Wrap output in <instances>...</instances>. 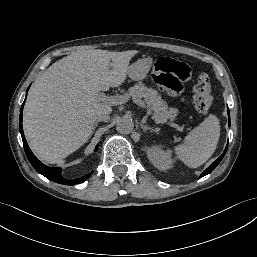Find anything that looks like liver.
Segmentation results:
<instances>
[{
	"label": "liver",
	"instance_id": "6515ba94",
	"mask_svg": "<svg viewBox=\"0 0 257 257\" xmlns=\"http://www.w3.org/2000/svg\"><path fill=\"white\" fill-rule=\"evenodd\" d=\"M137 50L74 52L53 63L30 90L24 107L23 127L35 154L57 163L93 133L99 113H111V105L97 94L120 86Z\"/></svg>",
	"mask_w": 257,
	"mask_h": 257
}]
</instances>
